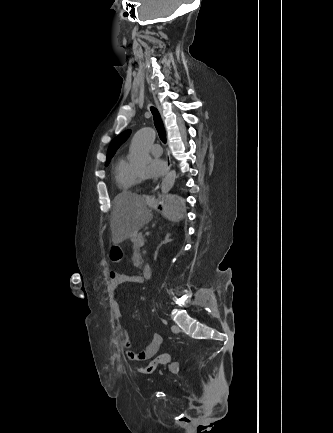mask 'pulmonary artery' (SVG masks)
<instances>
[{"mask_svg": "<svg viewBox=\"0 0 333 433\" xmlns=\"http://www.w3.org/2000/svg\"><path fill=\"white\" fill-rule=\"evenodd\" d=\"M150 151L153 156L158 157L161 156L163 149L160 144H154L151 146Z\"/></svg>", "mask_w": 333, "mask_h": 433, "instance_id": "obj_1", "label": "pulmonary artery"}]
</instances>
